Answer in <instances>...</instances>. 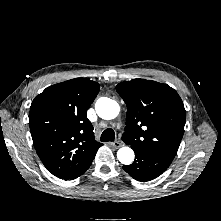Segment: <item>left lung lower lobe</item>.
<instances>
[{
    "label": "left lung lower lobe",
    "instance_id": "0a47b994",
    "mask_svg": "<svg viewBox=\"0 0 221 221\" xmlns=\"http://www.w3.org/2000/svg\"><path fill=\"white\" fill-rule=\"evenodd\" d=\"M135 161L131 165H124L123 169L134 179L146 182L161 175L171 164L173 159L146 152L140 148H132Z\"/></svg>",
    "mask_w": 221,
    "mask_h": 221
}]
</instances>
